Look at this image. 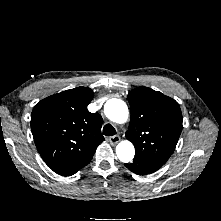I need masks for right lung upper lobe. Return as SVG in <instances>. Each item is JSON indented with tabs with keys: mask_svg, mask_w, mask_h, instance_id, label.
<instances>
[{
	"mask_svg": "<svg viewBox=\"0 0 221 221\" xmlns=\"http://www.w3.org/2000/svg\"><path fill=\"white\" fill-rule=\"evenodd\" d=\"M93 96L90 88L77 87L41 100L32 111L37 150L59 175L71 176L86 166L104 141L101 116L87 109Z\"/></svg>",
	"mask_w": 221,
	"mask_h": 221,
	"instance_id": "cb5924a9",
	"label": "right lung upper lobe"
}]
</instances>
